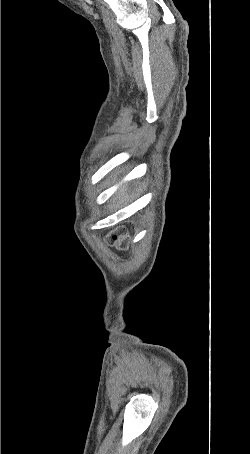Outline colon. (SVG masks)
I'll return each mask as SVG.
<instances>
[{"label": "colon", "mask_w": 250, "mask_h": 454, "mask_svg": "<svg viewBox=\"0 0 250 454\" xmlns=\"http://www.w3.org/2000/svg\"><path fill=\"white\" fill-rule=\"evenodd\" d=\"M105 241L109 246L115 247L120 251H127L131 246V237L127 229L123 226H117L109 230L106 234Z\"/></svg>", "instance_id": "obj_1"}]
</instances>
